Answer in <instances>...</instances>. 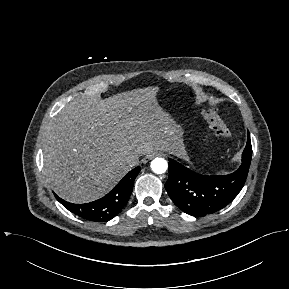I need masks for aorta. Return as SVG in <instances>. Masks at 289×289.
Returning a JSON list of instances; mask_svg holds the SVG:
<instances>
[{
    "label": "aorta",
    "mask_w": 289,
    "mask_h": 289,
    "mask_svg": "<svg viewBox=\"0 0 289 289\" xmlns=\"http://www.w3.org/2000/svg\"><path fill=\"white\" fill-rule=\"evenodd\" d=\"M151 169L153 172L156 174H162L166 172L168 169V163L165 159L163 158H155L150 165Z\"/></svg>",
    "instance_id": "762f6f07"
}]
</instances>
